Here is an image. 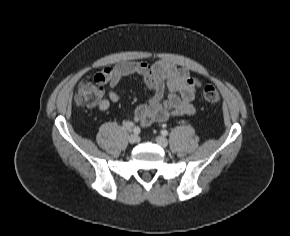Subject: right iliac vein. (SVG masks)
I'll use <instances>...</instances> for the list:
<instances>
[{
	"instance_id": "63e3f726",
	"label": "right iliac vein",
	"mask_w": 290,
	"mask_h": 236,
	"mask_svg": "<svg viewBox=\"0 0 290 236\" xmlns=\"http://www.w3.org/2000/svg\"><path fill=\"white\" fill-rule=\"evenodd\" d=\"M129 142L134 144L137 143L139 141V137L137 134H131L128 138Z\"/></svg>"
}]
</instances>
